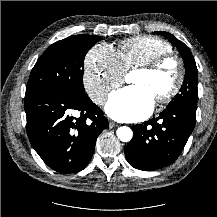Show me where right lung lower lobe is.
I'll list each match as a JSON object with an SVG mask.
<instances>
[{"mask_svg":"<svg viewBox=\"0 0 217 217\" xmlns=\"http://www.w3.org/2000/svg\"><path fill=\"white\" fill-rule=\"evenodd\" d=\"M27 134L32 147L53 170L76 173L90 161L99 134L109 127L88 96L41 92L25 96Z\"/></svg>","mask_w":217,"mask_h":217,"instance_id":"obj_1","label":"right lung lower lobe"}]
</instances>
